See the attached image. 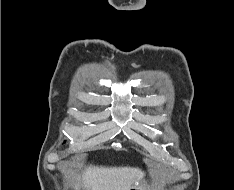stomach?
<instances>
[{
    "instance_id": "obj_1",
    "label": "stomach",
    "mask_w": 234,
    "mask_h": 190,
    "mask_svg": "<svg viewBox=\"0 0 234 190\" xmlns=\"http://www.w3.org/2000/svg\"><path fill=\"white\" fill-rule=\"evenodd\" d=\"M140 181V180H139ZM129 190H147V184L145 181H140V184L138 185H132Z\"/></svg>"
}]
</instances>
